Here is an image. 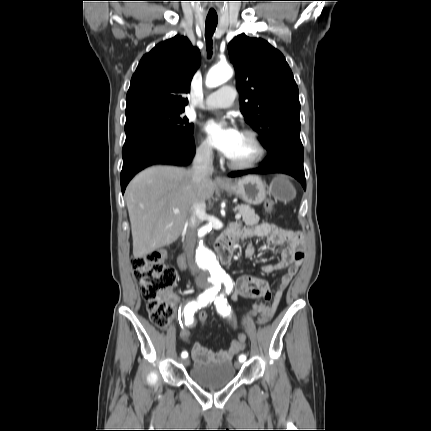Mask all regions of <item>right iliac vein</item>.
I'll list each match as a JSON object with an SVG mask.
<instances>
[{
  "mask_svg": "<svg viewBox=\"0 0 431 431\" xmlns=\"http://www.w3.org/2000/svg\"><path fill=\"white\" fill-rule=\"evenodd\" d=\"M182 363H183L184 365H188L189 361H188V359H184V360L182 361Z\"/></svg>",
  "mask_w": 431,
  "mask_h": 431,
  "instance_id": "1",
  "label": "right iliac vein"
}]
</instances>
